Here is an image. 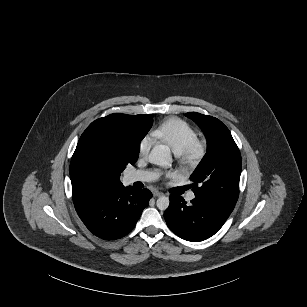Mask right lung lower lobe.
I'll return each mask as SVG.
<instances>
[{
    "instance_id": "right-lung-lower-lobe-1",
    "label": "right lung lower lobe",
    "mask_w": 307,
    "mask_h": 307,
    "mask_svg": "<svg viewBox=\"0 0 307 307\" xmlns=\"http://www.w3.org/2000/svg\"><path fill=\"white\" fill-rule=\"evenodd\" d=\"M152 193L131 186H114L80 201L75 209L86 227L97 237L119 239L133 230Z\"/></svg>"
}]
</instances>
